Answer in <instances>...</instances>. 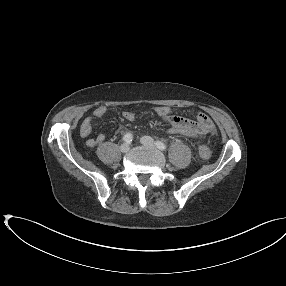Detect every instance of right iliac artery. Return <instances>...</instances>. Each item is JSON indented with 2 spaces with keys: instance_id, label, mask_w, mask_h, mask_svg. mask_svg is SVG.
Instances as JSON below:
<instances>
[{
  "instance_id": "82829eb1",
  "label": "right iliac artery",
  "mask_w": 286,
  "mask_h": 286,
  "mask_svg": "<svg viewBox=\"0 0 286 286\" xmlns=\"http://www.w3.org/2000/svg\"><path fill=\"white\" fill-rule=\"evenodd\" d=\"M133 139V135L131 133H127L124 135L123 140L127 143H130Z\"/></svg>"
}]
</instances>
